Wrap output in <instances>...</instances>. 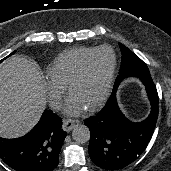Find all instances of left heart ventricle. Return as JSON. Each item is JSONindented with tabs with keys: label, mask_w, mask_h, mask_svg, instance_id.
Instances as JSON below:
<instances>
[{
	"label": "left heart ventricle",
	"mask_w": 171,
	"mask_h": 171,
	"mask_svg": "<svg viewBox=\"0 0 171 171\" xmlns=\"http://www.w3.org/2000/svg\"><path fill=\"white\" fill-rule=\"evenodd\" d=\"M113 64L110 51L97 53L88 64L83 76L73 85L70 93L80 98L87 107L93 105L102 95Z\"/></svg>",
	"instance_id": "b2bd125f"
}]
</instances>
